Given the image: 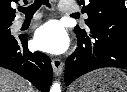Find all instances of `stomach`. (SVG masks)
Listing matches in <instances>:
<instances>
[{
    "label": "stomach",
    "instance_id": "stomach-1",
    "mask_svg": "<svg viewBox=\"0 0 127 92\" xmlns=\"http://www.w3.org/2000/svg\"><path fill=\"white\" fill-rule=\"evenodd\" d=\"M70 92H127V75L116 68L99 69L79 79Z\"/></svg>",
    "mask_w": 127,
    "mask_h": 92
}]
</instances>
